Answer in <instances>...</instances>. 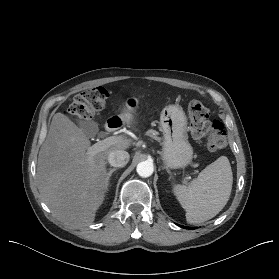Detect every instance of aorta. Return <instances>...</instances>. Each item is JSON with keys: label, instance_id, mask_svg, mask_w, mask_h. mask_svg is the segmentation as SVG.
<instances>
[{"label": "aorta", "instance_id": "aorta-1", "mask_svg": "<svg viewBox=\"0 0 279 279\" xmlns=\"http://www.w3.org/2000/svg\"><path fill=\"white\" fill-rule=\"evenodd\" d=\"M136 171L141 177H149L154 171L153 163L150 161H142L138 163Z\"/></svg>", "mask_w": 279, "mask_h": 279}]
</instances>
